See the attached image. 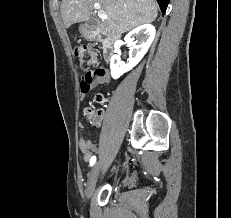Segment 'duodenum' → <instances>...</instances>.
Masks as SVG:
<instances>
[{"mask_svg": "<svg viewBox=\"0 0 231 218\" xmlns=\"http://www.w3.org/2000/svg\"><path fill=\"white\" fill-rule=\"evenodd\" d=\"M87 35L92 40H101L104 43L105 60L109 62L115 52L116 37L111 34H104L99 28L91 27L86 30Z\"/></svg>", "mask_w": 231, "mask_h": 218, "instance_id": "duodenum-1", "label": "duodenum"}]
</instances>
